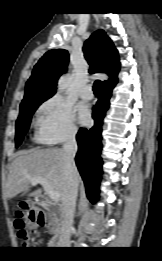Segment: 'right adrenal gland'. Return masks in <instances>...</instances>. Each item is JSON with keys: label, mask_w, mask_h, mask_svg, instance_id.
Here are the masks:
<instances>
[{"label": "right adrenal gland", "mask_w": 162, "mask_h": 261, "mask_svg": "<svg viewBox=\"0 0 162 261\" xmlns=\"http://www.w3.org/2000/svg\"><path fill=\"white\" fill-rule=\"evenodd\" d=\"M75 211H76V205H75V208H74V214H75Z\"/></svg>", "instance_id": "1"}]
</instances>
